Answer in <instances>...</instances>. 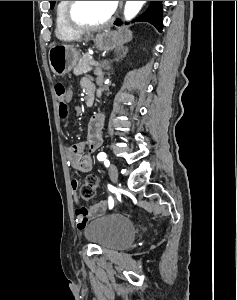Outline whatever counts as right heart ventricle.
<instances>
[{
	"instance_id": "1",
	"label": "right heart ventricle",
	"mask_w": 237,
	"mask_h": 300,
	"mask_svg": "<svg viewBox=\"0 0 237 300\" xmlns=\"http://www.w3.org/2000/svg\"><path fill=\"white\" fill-rule=\"evenodd\" d=\"M68 1H58L56 6V33L61 39H72L79 35V32L74 31L69 27L65 17Z\"/></svg>"
}]
</instances>
